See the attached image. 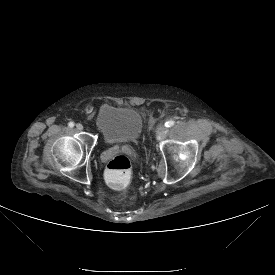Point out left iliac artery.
Instances as JSON below:
<instances>
[{"label":"left iliac artery","mask_w":275,"mask_h":275,"mask_svg":"<svg viewBox=\"0 0 275 275\" xmlns=\"http://www.w3.org/2000/svg\"><path fill=\"white\" fill-rule=\"evenodd\" d=\"M175 124V122L173 120H169L165 123L166 127H172Z\"/></svg>","instance_id":"obj_1"}]
</instances>
